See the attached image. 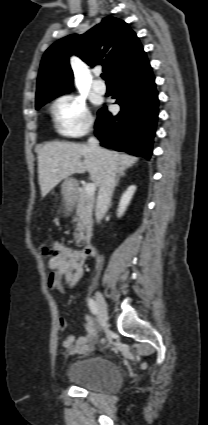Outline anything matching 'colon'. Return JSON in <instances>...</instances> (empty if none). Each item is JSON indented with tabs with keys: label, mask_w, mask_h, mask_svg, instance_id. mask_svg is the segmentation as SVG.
I'll use <instances>...</instances> for the list:
<instances>
[{
	"label": "colon",
	"mask_w": 208,
	"mask_h": 425,
	"mask_svg": "<svg viewBox=\"0 0 208 425\" xmlns=\"http://www.w3.org/2000/svg\"><path fill=\"white\" fill-rule=\"evenodd\" d=\"M39 251L43 257H52L55 254L53 248L47 244H41L39 246Z\"/></svg>",
	"instance_id": "1"
}]
</instances>
